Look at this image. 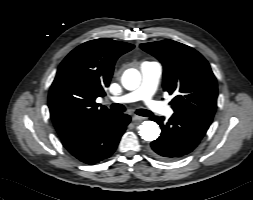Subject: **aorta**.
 Listing matches in <instances>:
<instances>
[{"mask_svg":"<svg viewBox=\"0 0 253 200\" xmlns=\"http://www.w3.org/2000/svg\"><path fill=\"white\" fill-rule=\"evenodd\" d=\"M140 73L136 69L127 70L122 77V84L128 90L136 89L140 84ZM159 125L153 121H144L139 126V134L146 141H154L160 135Z\"/></svg>","mask_w":253,"mask_h":200,"instance_id":"1","label":"aorta"}]
</instances>
